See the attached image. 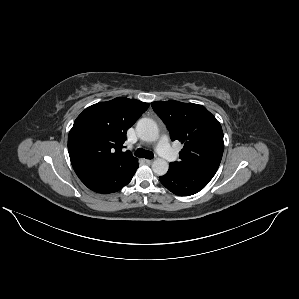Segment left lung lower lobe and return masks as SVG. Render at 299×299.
<instances>
[{
	"mask_svg": "<svg viewBox=\"0 0 299 299\" xmlns=\"http://www.w3.org/2000/svg\"><path fill=\"white\" fill-rule=\"evenodd\" d=\"M216 171L208 168L178 169L170 165L168 172L159 179L174 194L189 196L202 190Z\"/></svg>",
	"mask_w": 299,
	"mask_h": 299,
	"instance_id": "1",
	"label": "left lung lower lobe"
}]
</instances>
